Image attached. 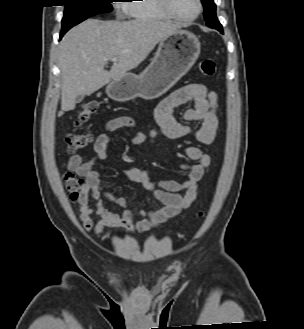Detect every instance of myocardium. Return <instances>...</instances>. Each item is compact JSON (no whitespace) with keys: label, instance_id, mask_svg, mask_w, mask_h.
I'll list each match as a JSON object with an SVG mask.
<instances>
[{"label":"myocardium","instance_id":"myocardium-1","mask_svg":"<svg viewBox=\"0 0 304 329\" xmlns=\"http://www.w3.org/2000/svg\"><path fill=\"white\" fill-rule=\"evenodd\" d=\"M163 10L165 11V13L172 19L174 20H178V21H184V22H190L193 20H196L202 13L203 11V2L202 0H197L198 3V11L197 13L192 16V17H184L181 15H178L174 12V10L172 9L171 6V0H159Z\"/></svg>","mask_w":304,"mask_h":329}]
</instances>
